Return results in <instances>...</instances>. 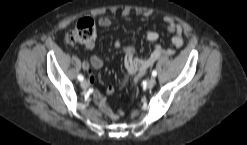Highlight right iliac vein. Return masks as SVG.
<instances>
[{
  "label": "right iliac vein",
  "mask_w": 247,
  "mask_h": 145,
  "mask_svg": "<svg viewBox=\"0 0 247 145\" xmlns=\"http://www.w3.org/2000/svg\"><path fill=\"white\" fill-rule=\"evenodd\" d=\"M82 89H88L89 88V83L87 81H82L80 84Z\"/></svg>",
  "instance_id": "obj_1"
}]
</instances>
